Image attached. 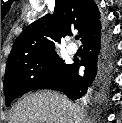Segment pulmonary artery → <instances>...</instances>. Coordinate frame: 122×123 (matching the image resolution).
I'll return each mask as SVG.
<instances>
[{
  "label": "pulmonary artery",
  "mask_w": 122,
  "mask_h": 123,
  "mask_svg": "<svg viewBox=\"0 0 122 123\" xmlns=\"http://www.w3.org/2000/svg\"><path fill=\"white\" fill-rule=\"evenodd\" d=\"M67 51L69 54H76L78 51V47L74 43H70L67 47Z\"/></svg>",
  "instance_id": "obj_1"
}]
</instances>
